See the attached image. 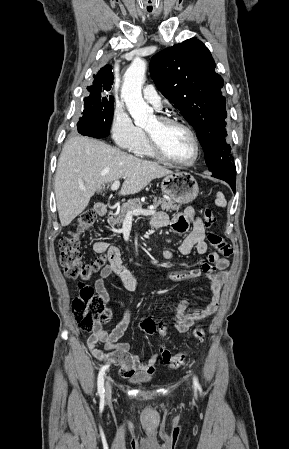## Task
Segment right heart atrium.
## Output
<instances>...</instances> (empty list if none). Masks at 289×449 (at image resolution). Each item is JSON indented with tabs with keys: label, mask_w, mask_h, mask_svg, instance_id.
<instances>
[{
	"label": "right heart atrium",
	"mask_w": 289,
	"mask_h": 449,
	"mask_svg": "<svg viewBox=\"0 0 289 449\" xmlns=\"http://www.w3.org/2000/svg\"><path fill=\"white\" fill-rule=\"evenodd\" d=\"M111 134L114 143L125 150L135 152L144 133L122 106H116L111 120Z\"/></svg>",
	"instance_id": "obj_1"
}]
</instances>
